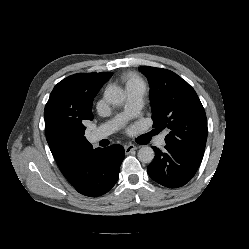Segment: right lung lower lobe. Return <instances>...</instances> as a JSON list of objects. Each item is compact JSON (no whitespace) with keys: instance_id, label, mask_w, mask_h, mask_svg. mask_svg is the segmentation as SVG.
<instances>
[{"instance_id":"obj_1","label":"right lung lower lobe","mask_w":249,"mask_h":249,"mask_svg":"<svg viewBox=\"0 0 249 249\" xmlns=\"http://www.w3.org/2000/svg\"><path fill=\"white\" fill-rule=\"evenodd\" d=\"M125 156L122 146L97 148L75 158L66 179L81 194L97 197L107 193L117 182Z\"/></svg>"}]
</instances>
